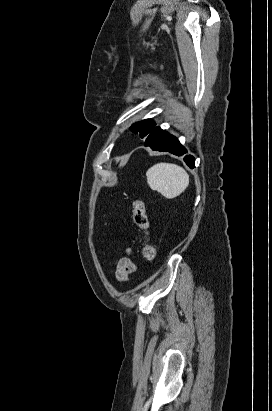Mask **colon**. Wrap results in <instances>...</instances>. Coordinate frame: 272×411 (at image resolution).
I'll return each instance as SVG.
<instances>
[{"label":"colon","mask_w":272,"mask_h":411,"mask_svg":"<svg viewBox=\"0 0 272 411\" xmlns=\"http://www.w3.org/2000/svg\"><path fill=\"white\" fill-rule=\"evenodd\" d=\"M132 215L135 224L147 235L149 229V220L145 205L141 199H135L133 201ZM142 254L147 261L152 262L156 259V251L150 244L145 243L143 245Z\"/></svg>","instance_id":"5ec220e1"}]
</instances>
